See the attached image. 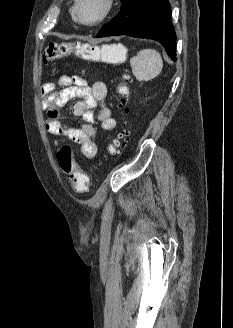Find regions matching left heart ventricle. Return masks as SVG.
I'll use <instances>...</instances> for the list:
<instances>
[{
    "instance_id": "1",
    "label": "left heart ventricle",
    "mask_w": 233,
    "mask_h": 328,
    "mask_svg": "<svg viewBox=\"0 0 233 328\" xmlns=\"http://www.w3.org/2000/svg\"><path fill=\"white\" fill-rule=\"evenodd\" d=\"M103 7V0H81V16L85 21H92L101 14Z\"/></svg>"
}]
</instances>
